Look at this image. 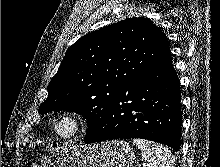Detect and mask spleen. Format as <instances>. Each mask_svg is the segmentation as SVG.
Segmentation results:
<instances>
[{"label": "spleen", "instance_id": "1", "mask_svg": "<svg viewBox=\"0 0 220 167\" xmlns=\"http://www.w3.org/2000/svg\"><path fill=\"white\" fill-rule=\"evenodd\" d=\"M133 144L142 152L147 167H174L175 159L168 148L145 139H133Z\"/></svg>", "mask_w": 220, "mask_h": 167}]
</instances>
